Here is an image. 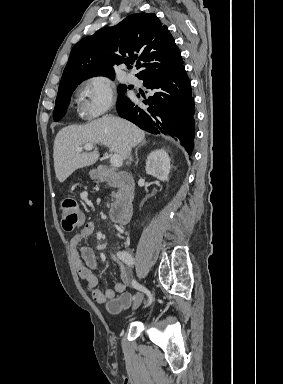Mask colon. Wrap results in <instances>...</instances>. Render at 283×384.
I'll return each instance as SVG.
<instances>
[{"label": "colon", "mask_w": 283, "mask_h": 384, "mask_svg": "<svg viewBox=\"0 0 283 384\" xmlns=\"http://www.w3.org/2000/svg\"><path fill=\"white\" fill-rule=\"evenodd\" d=\"M60 213L62 227L66 231H73L83 223V215L73 198L68 197L61 201ZM133 301L134 297L130 293L124 292L107 304V310L113 314L119 313L129 308Z\"/></svg>", "instance_id": "colon-1"}]
</instances>
